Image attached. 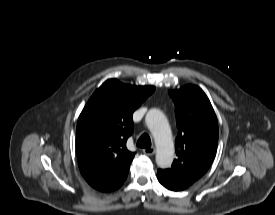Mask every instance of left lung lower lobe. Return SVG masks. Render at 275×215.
Listing matches in <instances>:
<instances>
[{
    "label": "left lung lower lobe",
    "mask_w": 275,
    "mask_h": 215,
    "mask_svg": "<svg viewBox=\"0 0 275 215\" xmlns=\"http://www.w3.org/2000/svg\"><path fill=\"white\" fill-rule=\"evenodd\" d=\"M158 181L166 188L173 191H181L188 188L192 183L184 181L171 175L167 170L159 169L157 171Z\"/></svg>",
    "instance_id": "obj_1"
}]
</instances>
